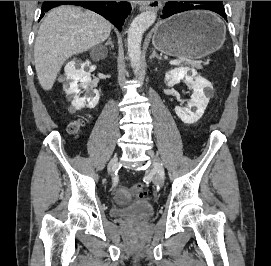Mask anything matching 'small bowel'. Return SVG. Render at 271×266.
Wrapping results in <instances>:
<instances>
[{"mask_svg":"<svg viewBox=\"0 0 271 266\" xmlns=\"http://www.w3.org/2000/svg\"><path fill=\"white\" fill-rule=\"evenodd\" d=\"M130 196L131 195H130V192L128 191V189L125 187H122L116 193V201L123 202V201L129 199Z\"/></svg>","mask_w":271,"mask_h":266,"instance_id":"c3829d8e","label":"small bowel"}]
</instances>
